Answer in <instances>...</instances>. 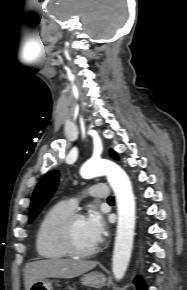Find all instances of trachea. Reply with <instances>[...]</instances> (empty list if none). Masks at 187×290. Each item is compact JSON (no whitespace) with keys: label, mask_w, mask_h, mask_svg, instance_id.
<instances>
[{"label":"trachea","mask_w":187,"mask_h":290,"mask_svg":"<svg viewBox=\"0 0 187 290\" xmlns=\"http://www.w3.org/2000/svg\"><path fill=\"white\" fill-rule=\"evenodd\" d=\"M114 200V197L113 196H110L109 198H108V201H113Z\"/></svg>","instance_id":"1"}]
</instances>
